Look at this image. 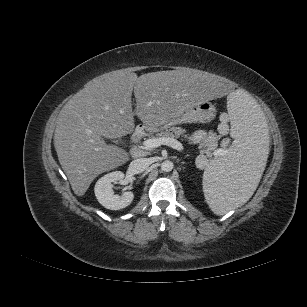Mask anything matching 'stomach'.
Listing matches in <instances>:
<instances>
[{
  "label": "stomach",
  "mask_w": 307,
  "mask_h": 307,
  "mask_svg": "<svg viewBox=\"0 0 307 307\" xmlns=\"http://www.w3.org/2000/svg\"><path fill=\"white\" fill-rule=\"evenodd\" d=\"M215 114V107L212 103L201 101L195 103L189 108L185 109L181 114L171 117L164 124L153 123L145 126L148 131H158L167 129L169 126L182 123H197L210 121Z\"/></svg>",
  "instance_id": "obj_1"
}]
</instances>
